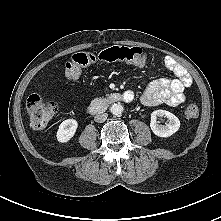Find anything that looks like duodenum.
I'll return each instance as SVG.
<instances>
[{
	"instance_id": "410a0bca",
	"label": "duodenum",
	"mask_w": 221,
	"mask_h": 221,
	"mask_svg": "<svg viewBox=\"0 0 221 221\" xmlns=\"http://www.w3.org/2000/svg\"><path fill=\"white\" fill-rule=\"evenodd\" d=\"M133 95L130 92L114 93L106 99H97L93 101L88 109L92 113H102L113 102H130Z\"/></svg>"
}]
</instances>
